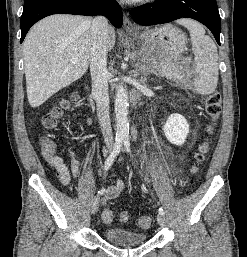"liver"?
Listing matches in <instances>:
<instances>
[{"label":"liver","mask_w":247,"mask_h":257,"mask_svg":"<svg viewBox=\"0 0 247 257\" xmlns=\"http://www.w3.org/2000/svg\"><path fill=\"white\" fill-rule=\"evenodd\" d=\"M91 26V18L55 14L28 32L23 55L31 107H39L85 74L92 58ZM115 40V31L109 26L107 51L114 47Z\"/></svg>","instance_id":"6515ba94"}]
</instances>
